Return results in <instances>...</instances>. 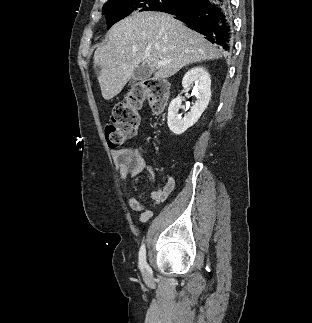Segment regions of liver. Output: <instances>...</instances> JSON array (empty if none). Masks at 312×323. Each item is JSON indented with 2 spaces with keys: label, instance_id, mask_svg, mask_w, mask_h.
<instances>
[{
  "label": "liver",
  "instance_id": "1",
  "mask_svg": "<svg viewBox=\"0 0 312 323\" xmlns=\"http://www.w3.org/2000/svg\"><path fill=\"white\" fill-rule=\"evenodd\" d=\"M149 54V56H145ZM222 58L205 36L186 28L165 12H135L109 30L106 44L97 48L94 64L104 100L120 94L135 68L145 62L154 78H170L183 66ZM157 62H170L157 68Z\"/></svg>",
  "mask_w": 312,
  "mask_h": 323
}]
</instances>
